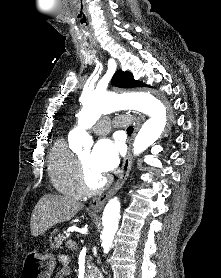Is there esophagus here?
<instances>
[{
	"label": "esophagus",
	"instance_id": "obj_1",
	"mask_svg": "<svg viewBox=\"0 0 221 278\" xmlns=\"http://www.w3.org/2000/svg\"><path fill=\"white\" fill-rule=\"evenodd\" d=\"M144 119H145L144 115L138 114V116H137V126L135 127L134 135L138 131V129H139L141 123L144 121ZM131 166H132V154H131V145H130L129 151H128L126 157L123 160L122 172L119 175L117 182L115 183L114 187L110 191L94 198L90 202L89 207H90L91 210L100 211L103 208L107 199L122 186V184L126 180L127 176L129 175Z\"/></svg>",
	"mask_w": 221,
	"mask_h": 278
}]
</instances>
